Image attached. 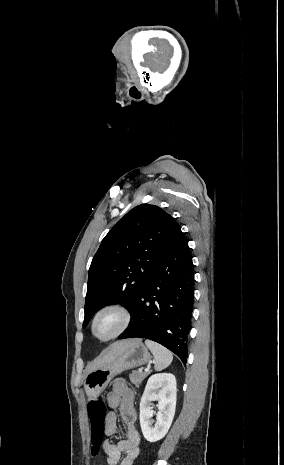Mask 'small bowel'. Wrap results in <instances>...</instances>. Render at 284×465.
Wrapping results in <instances>:
<instances>
[{
    "label": "small bowel",
    "instance_id": "small-bowel-1",
    "mask_svg": "<svg viewBox=\"0 0 284 465\" xmlns=\"http://www.w3.org/2000/svg\"><path fill=\"white\" fill-rule=\"evenodd\" d=\"M107 403L111 412L107 416L105 434L114 436L118 433V417L124 423L125 438L114 443L106 440L103 448L107 465H133L140 454V434L137 429V411L134 405V392L122 380L113 383L107 395Z\"/></svg>",
    "mask_w": 284,
    "mask_h": 465
}]
</instances>
